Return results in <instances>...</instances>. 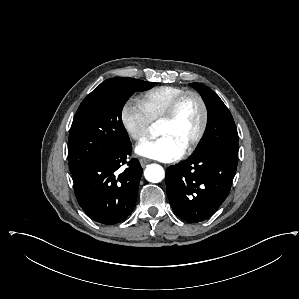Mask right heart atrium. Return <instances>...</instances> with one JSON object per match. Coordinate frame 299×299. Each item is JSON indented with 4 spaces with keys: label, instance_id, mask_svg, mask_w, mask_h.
I'll return each mask as SVG.
<instances>
[{
    "label": "right heart atrium",
    "instance_id": "1",
    "mask_svg": "<svg viewBox=\"0 0 299 299\" xmlns=\"http://www.w3.org/2000/svg\"><path fill=\"white\" fill-rule=\"evenodd\" d=\"M120 118L125 132L132 140L139 142L148 136L152 123L138 102L126 101L121 108Z\"/></svg>",
    "mask_w": 299,
    "mask_h": 299
}]
</instances>
